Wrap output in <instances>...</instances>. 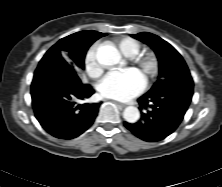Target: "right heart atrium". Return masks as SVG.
I'll return each instance as SVG.
<instances>
[{
  "label": "right heart atrium",
  "mask_w": 222,
  "mask_h": 187,
  "mask_svg": "<svg viewBox=\"0 0 222 187\" xmlns=\"http://www.w3.org/2000/svg\"><path fill=\"white\" fill-rule=\"evenodd\" d=\"M97 49H98V44H93L86 52L85 58H84V68L88 75L91 77H96L98 76L102 68L97 60Z\"/></svg>",
  "instance_id": "obj_1"
}]
</instances>
